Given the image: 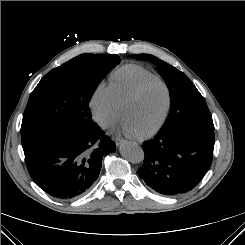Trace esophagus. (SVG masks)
<instances>
[{
	"instance_id": "esophagus-1",
	"label": "esophagus",
	"mask_w": 245,
	"mask_h": 245,
	"mask_svg": "<svg viewBox=\"0 0 245 245\" xmlns=\"http://www.w3.org/2000/svg\"><path fill=\"white\" fill-rule=\"evenodd\" d=\"M122 142H124V139L123 138H121V137H116L115 138L116 145H120Z\"/></svg>"
}]
</instances>
